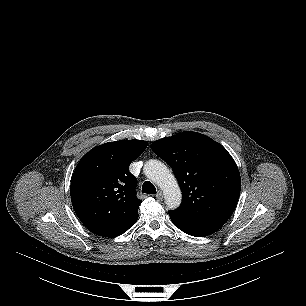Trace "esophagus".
I'll use <instances>...</instances> for the list:
<instances>
[{
  "instance_id": "obj_1",
  "label": "esophagus",
  "mask_w": 306,
  "mask_h": 306,
  "mask_svg": "<svg viewBox=\"0 0 306 306\" xmlns=\"http://www.w3.org/2000/svg\"><path fill=\"white\" fill-rule=\"evenodd\" d=\"M156 198H157L158 200H162V199H163V192H162L161 190H159V191L157 192Z\"/></svg>"
}]
</instances>
